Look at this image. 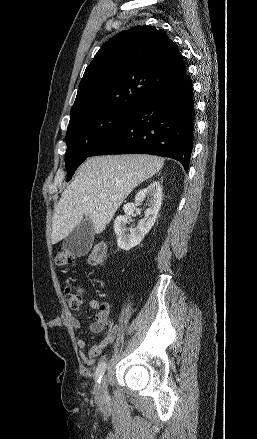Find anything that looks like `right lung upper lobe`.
Wrapping results in <instances>:
<instances>
[{
  "label": "right lung upper lobe",
  "mask_w": 257,
  "mask_h": 439,
  "mask_svg": "<svg viewBox=\"0 0 257 439\" xmlns=\"http://www.w3.org/2000/svg\"><path fill=\"white\" fill-rule=\"evenodd\" d=\"M186 74L183 58L163 30L137 26L107 41L85 70L71 118L88 111H135Z\"/></svg>",
  "instance_id": "right-lung-upper-lobe-1"
}]
</instances>
